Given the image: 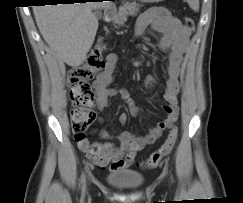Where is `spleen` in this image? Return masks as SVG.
<instances>
[{"mask_svg": "<svg viewBox=\"0 0 243 203\" xmlns=\"http://www.w3.org/2000/svg\"><path fill=\"white\" fill-rule=\"evenodd\" d=\"M189 4L190 8H192L195 12L199 11V0H186Z\"/></svg>", "mask_w": 243, "mask_h": 203, "instance_id": "spleen-1", "label": "spleen"}]
</instances>
